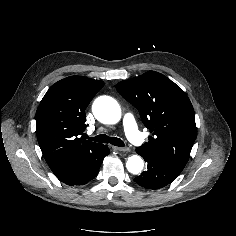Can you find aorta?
I'll use <instances>...</instances> for the list:
<instances>
[{"instance_id":"762f6f07","label":"aorta","mask_w":236,"mask_h":236,"mask_svg":"<svg viewBox=\"0 0 236 236\" xmlns=\"http://www.w3.org/2000/svg\"><path fill=\"white\" fill-rule=\"evenodd\" d=\"M95 117L103 123L115 124L121 118V108L118 102L109 96H101L93 103ZM127 170L132 174H139L143 170L144 162L138 155H132L126 162Z\"/></svg>"}]
</instances>
